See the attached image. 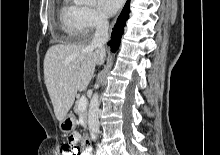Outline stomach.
I'll return each instance as SVG.
<instances>
[{"label":"stomach","mask_w":220,"mask_h":155,"mask_svg":"<svg viewBox=\"0 0 220 155\" xmlns=\"http://www.w3.org/2000/svg\"><path fill=\"white\" fill-rule=\"evenodd\" d=\"M75 126V117L72 113L67 114L59 125L61 131L64 133H70L72 130L75 129Z\"/></svg>","instance_id":"1"}]
</instances>
